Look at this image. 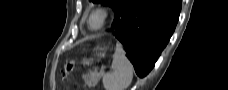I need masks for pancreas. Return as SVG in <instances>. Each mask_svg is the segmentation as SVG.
<instances>
[{
	"label": "pancreas",
	"mask_w": 228,
	"mask_h": 90,
	"mask_svg": "<svg viewBox=\"0 0 228 90\" xmlns=\"http://www.w3.org/2000/svg\"><path fill=\"white\" fill-rule=\"evenodd\" d=\"M98 82V77L97 76H93L92 78H90L89 80H86V83L88 84V86L92 87L95 84H97Z\"/></svg>",
	"instance_id": "pancreas-1"
}]
</instances>
